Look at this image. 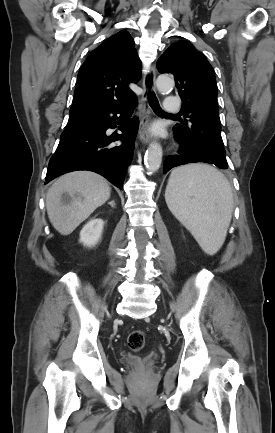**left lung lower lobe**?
Instances as JSON below:
<instances>
[{
	"mask_svg": "<svg viewBox=\"0 0 275 433\" xmlns=\"http://www.w3.org/2000/svg\"><path fill=\"white\" fill-rule=\"evenodd\" d=\"M179 153H180V156H169L166 159V161L164 163V169H163L164 173H167L173 167L180 166L183 164L197 162L193 158L188 156V154L184 151L182 145H181V148L179 150Z\"/></svg>",
	"mask_w": 275,
	"mask_h": 433,
	"instance_id": "obj_1",
	"label": "left lung lower lobe"
}]
</instances>
